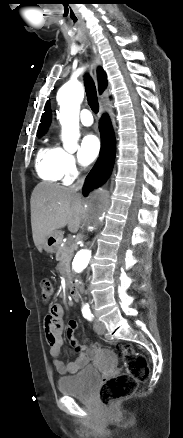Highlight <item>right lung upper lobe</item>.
Masks as SVG:
<instances>
[{
	"mask_svg": "<svg viewBox=\"0 0 183 438\" xmlns=\"http://www.w3.org/2000/svg\"><path fill=\"white\" fill-rule=\"evenodd\" d=\"M97 75H98V83H99V92L102 93L107 86L106 74L101 68H98ZM44 111L45 112L42 115L41 123L39 125V130H38L39 135H43L48 129L50 124L51 112L48 102L45 105Z\"/></svg>",
	"mask_w": 183,
	"mask_h": 438,
	"instance_id": "right-lung-upper-lobe-1",
	"label": "right lung upper lobe"
}]
</instances>
